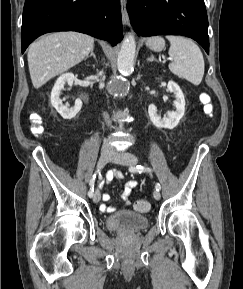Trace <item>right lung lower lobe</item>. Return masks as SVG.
Wrapping results in <instances>:
<instances>
[{
	"label": "right lung lower lobe",
	"mask_w": 243,
	"mask_h": 289,
	"mask_svg": "<svg viewBox=\"0 0 243 289\" xmlns=\"http://www.w3.org/2000/svg\"><path fill=\"white\" fill-rule=\"evenodd\" d=\"M66 30L116 45L123 38L120 0H25L22 53L40 35Z\"/></svg>",
	"instance_id": "98d812e1"
}]
</instances>
